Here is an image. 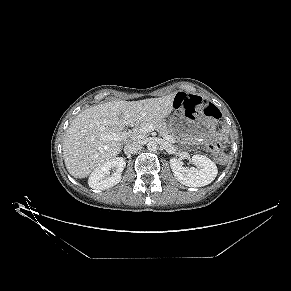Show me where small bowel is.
Returning a JSON list of instances; mask_svg holds the SVG:
<instances>
[{
    "mask_svg": "<svg viewBox=\"0 0 291 291\" xmlns=\"http://www.w3.org/2000/svg\"><path fill=\"white\" fill-rule=\"evenodd\" d=\"M183 94H185V93H183ZM185 95H191V96H196V95H192V94H185Z\"/></svg>",
    "mask_w": 291,
    "mask_h": 291,
    "instance_id": "1",
    "label": "small bowel"
}]
</instances>
